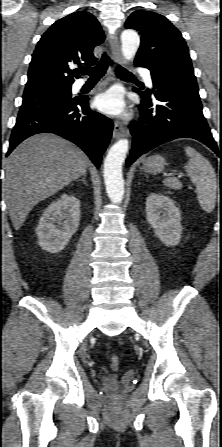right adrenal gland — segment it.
I'll return each mask as SVG.
<instances>
[{
    "label": "right adrenal gland",
    "mask_w": 222,
    "mask_h": 447,
    "mask_svg": "<svg viewBox=\"0 0 222 447\" xmlns=\"http://www.w3.org/2000/svg\"><path fill=\"white\" fill-rule=\"evenodd\" d=\"M78 181H82L85 185H87L86 174H84L83 177L80 180H78Z\"/></svg>",
    "instance_id": "1"
}]
</instances>
